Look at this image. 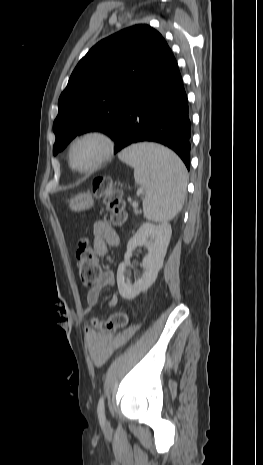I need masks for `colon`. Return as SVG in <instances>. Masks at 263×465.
<instances>
[{
    "instance_id": "5ec220e1",
    "label": "colon",
    "mask_w": 263,
    "mask_h": 465,
    "mask_svg": "<svg viewBox=\"0 0 263 465\" xmlns=\"http://www.w3.org/2000/svg\"><path fill=\"white\" fill-rule=\"evenodd\" d=\"M94 194L101 198L107 207L106 222L113 226L121 225L125 220L124 202L121 192L114 188L108 177H98L93 183ZM77 267L82 284L93 288L102 274L96 255L90 246L88 238H81L76 251ZM128 324V315L125 312L112 314L106 320L94 318L93 327L100 333H111L123 329Z\"/></svg>"
}]
</instances>
